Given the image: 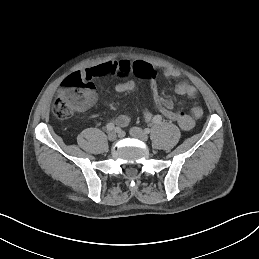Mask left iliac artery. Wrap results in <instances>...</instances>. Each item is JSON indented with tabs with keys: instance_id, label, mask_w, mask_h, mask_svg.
<instances>
[{
	"instance_id": "obj_1",
	"label": "left iliac artery",
	"mask_w": 259,
	"mask_h": 259,
	"mask_svg": "<svg viewBox=\"0 0 259 259\" xmlns=\"http://www.w3.org/2000/svg\"><path fill=\"white\" fill-rule=\"evenodd\" d=\"M161 121H162L161 115H156V116L153 117V123L159 124V123H161Z\"/></svg>"
}]
</instances>
